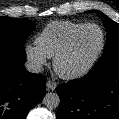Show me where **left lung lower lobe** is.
Wrapping results in <instances>:
<instances>
[{"mask_svg":"<svg viewBox=\"0 0 119 119\" xmlns=\"http://www.w3.org/2000/svg\"><path fill=\"white\" fill-rule=\"evenodd\" d=\"M57 119H119V64L57 87Z\"/></svg>","mask_w":119,"mask_h":119,"instance_id":"0a47b994","label":"left lung lower lobe"}]
</instances>
